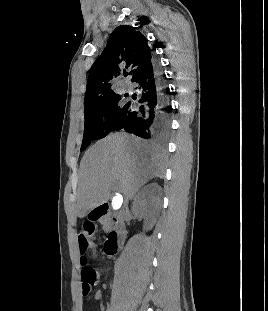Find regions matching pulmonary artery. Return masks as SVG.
I'll list each match as a JSON object with an SVG mask.
<instances>
[{
    "label": "pulmonary artery",
    "mask_w": 268,
    "mask_h": 311,
    "mask_svg": "<svg viewBox=\"0 0 268 311\" xmlns=\"http://www.w3.org/2000/svg\"><path fill=\"white\" fill-rule=\"evenodd\" d=\"M124 88H125V89H128V87H127V86H125Z\"/></svg>",
    "instance_id": "obj_1"
}]
</instances>
